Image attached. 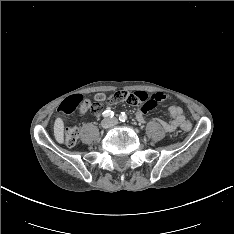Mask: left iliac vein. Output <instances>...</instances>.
I'll return each instance as SVG.
<instances>
[{
  "label": "left iliac vein",
  "mask_w": 234,
  "mask_h": 234,
  "mask_svg": "<svg viewBox=\"0 0 234 234\" xmlns=\"http://www.w3.org/2000/svg\"><path fill=\"white\" fill-rule=\"evenodd\" d=\"M112 123H113V124H117V123H118L117 119H113V120H112Z\"/></svg>",
  "instance_id": "obj_1"
}]
</instances>
